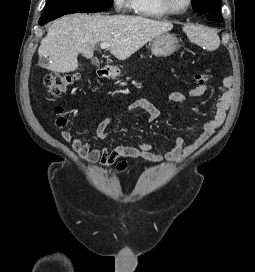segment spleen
Instances as JSON below:
<instances>
[{"mask_svg": "<svg viewBox=\"0 0 255 272\" xmlns=\"http://www.w3.org/2000/svg\"><path fill=\"white\" fill-rule=\"evenodd\" d=\"M188 39L199 46H205L207 50H216L220 45V38L217 33L209 28L198 25H187L183 28Z\"/></svg>", "mask_w": 255, "mask_h": 272, "instance_id": "spleen-1", "label": "spleen"}]
</instances>
